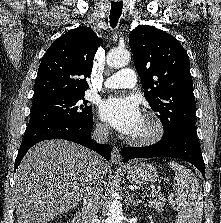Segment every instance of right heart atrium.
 <instances>
[{
	"label": "right heart atrium",
	"mask_w": 221,
	"mask_h": 223,
	"mask_svg": "<svg viewBox=\"0 0 221 223\" xmlns=\"http://www.w3.org/2000/svg\"><path fill=\"white\" fill-rule=\"evenodd\" d=\"M96 129L99 133H106L108 132V127L104 123H97Z\"/></svg>",
	"instance_id": "right-heart-atrium-1"
}]
</instances>
